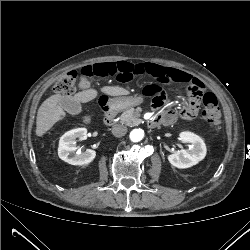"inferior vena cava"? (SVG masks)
I'll return each mask as SVG.
<instances>
[{"label":"inferior vena cava","instance_id":"obj_1","mask_svg":"<svg viewBox=\"0 0 250 250\" xmlns=\"http://www.w3.org/2000/svg\"><path fill=\"white\" fill-rule=\"evenodd\" d=\"M127 133V127L124 125H114L112 127V134L116 137H122Z\"/></svg>","mask_w":250,"mask_h":250}]
</instances>
